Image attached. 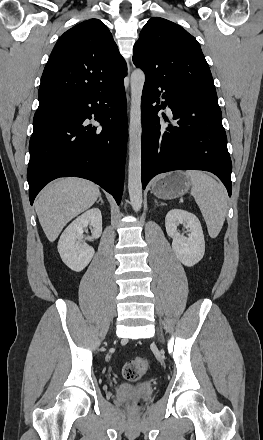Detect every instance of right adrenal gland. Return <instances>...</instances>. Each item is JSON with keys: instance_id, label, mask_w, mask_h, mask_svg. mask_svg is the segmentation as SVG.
Segmentation results:
<instances>
[{"instance_id": "1", "label": "right adrenal gland", "mask_w": 263, "mask_h": 440, "mask_svg": "<svg viewBox=\"0 0 263 440\" xmlns=\"http://www.w3.org/2000/svg\"><path fill=\"white\" fill-rule=\"evenodd\" d=\"M98 202H101L102 204L104 203V201H103V199H102V197H101V196L99 197V200H98Z\"/></svg>"}]
</instances>
